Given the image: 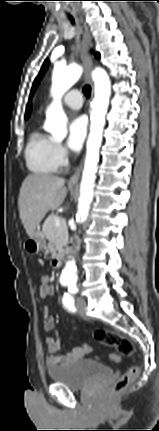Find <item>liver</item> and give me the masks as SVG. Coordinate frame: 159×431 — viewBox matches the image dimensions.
I'll return each mask as SVG.
<instances>
[{"label": "liver", "instance_id": "liver-1", "mask_svg": "<svg viewBox=\"0 0 159 431\" xmlns=\"http://www.w3.org/2000/svg\"><path fill=\"white\" fill-rule=\"evenodd\" d=\"M65 179L48 174L28 175L22 183L18 198L20 219L32 237L49 210L58 209L67 195Z\"/></svg>", "mask_w": 159, "mask_h": 431}]
</instances>
